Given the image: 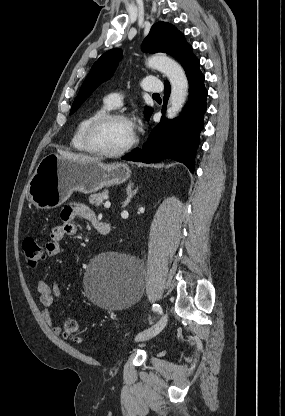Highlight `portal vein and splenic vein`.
Listing matches in <instances>:
<instances>
[{
    "instance_id": "1",
    "label": "portal vein and splenic vein",
    "mask_w": 285,
    "mask_h": 416,
    "mask_svg": "<svg viewBox=\"0 0 285 416\" xmlns=\"http://www.w3.org/2000/svg\"><path fill=\"white\" fill-rule=\"evenodd\" d=\"M110 206H111L110 202H105L104 208H110Z\"/></svg>"
}]
</instances>
